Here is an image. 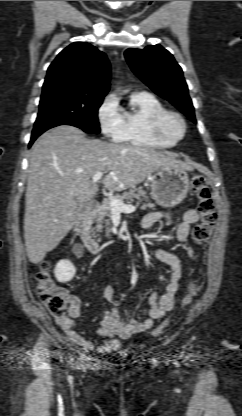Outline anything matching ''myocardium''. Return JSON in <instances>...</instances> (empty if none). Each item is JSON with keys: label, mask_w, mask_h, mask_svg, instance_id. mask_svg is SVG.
Returning a JSON list of instances; mask_svg holds the SVG:
<instances>
[{"label": "myocardium", "mask_w": 242, "mask_h": 416, "mask_svg": "<svg viewBox=\"0 0 242 416\" xmlns=\"http://www.w3.org/2000/svg\"><path fill=\"white\" fill-rule=\"evenodd\" d=\"M168 117H173L177 119L178 122L180 123L182 130L179 136H176V137L171 136L164 130V122ZM150 128H151L152 133L157 138L174 143V144L181 141L184 138L186 134V130H187L186 122L183 116L174 110H168V109L161 110L157 112L156 114H154L150 122Z\"/></svg>", "instance_id": "myocardium-1"}]
</instances>
